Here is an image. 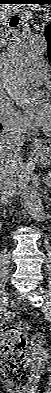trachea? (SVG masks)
<instances>
[{
	"label": "trachea",
	"mask_w": 51,
	"mask_h": 393,
	"mask_svg": "<svg viewBox=\"0 0 51 393\" xmlns=\"http://www.w3.org/2000/svg\"><path fill=\"white\" fill-rule=\"evenodd\" d=\"M18 23H19V17H18V16H13V17L11 18L10 22H9V25H10L11 27H15V26L18 25Z\"/></svg>",
	"instance_id": "trachea-1"
}]
</instances>
